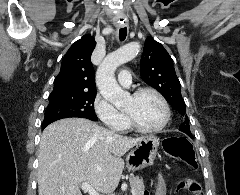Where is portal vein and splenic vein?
I'll use <instances>...</instances> for the list:
<instances>
[{"label": "portal vein and splenic vein", "mask_w": 240, "mask_h": 195, "mask_svg": "<svg viewBox=\"0 0 240 195\" xmlns=\"http://www.w3.org/2000/svg\"><path fill=\"white\" fill-rule=\"evenodd\" d=\"M80 187L81 189H84V191H87L89 195H100V193H98V191H96V189H94L90 183H87V181H82V183H80Z\"/></svg>", "instance_id": "1"}]
</instances>
